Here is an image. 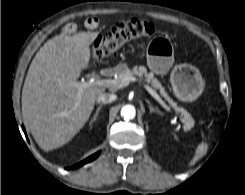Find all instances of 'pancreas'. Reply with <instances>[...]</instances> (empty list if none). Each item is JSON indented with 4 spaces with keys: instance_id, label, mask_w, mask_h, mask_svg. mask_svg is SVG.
<instances>
[{
    "instance_id": "cf45deb5",
    "label": "pancreas",
    "mask_w": 245,
    "mask_h": 195,
    "mask_svg": "<svg viewBox=\"0 0 245 195\" xmlns=\"http://www.w3.org/2000/svg\"><path fill=\"white\" fill-rule=\"evenodd\" d=\"M116 73L117 78L115 80L118 83H121L126 77H145L146 82L151 84V86L156 90H159L161 96L168 101L170 106L180 113V120L183 123L184 130L189 131L194 126V119L191 115L183 107H179L177 103L168 96V93L165 91L162 84L154 77L152 72H147V69L144 66H135L132 69L126 68L125 70Z\"/></svg>"
}]
</instances>
